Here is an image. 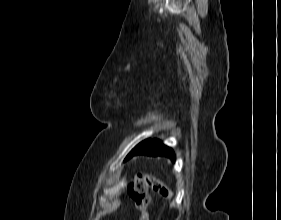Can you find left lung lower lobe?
<instances>
[{
    "mask_svg": "<svg viewBox=\"0 0 281 220\" xmlns=\"http://www.w3.org/2000/svg\"><path fill=\"white\" fill-rule=\"evenodd\" d=\"M136 155L166 156L171 158L172 160L175 159L173 150L164 145L158 139L149 140L144 145L135 149L127 159Z\"/></svg>",
    "mask_w": 281,
    "mask_h": 220,
    "instance_id": "left-lung-lower-lobe-1",
    "label": "left lung lower lobe"
}]
</instances>
